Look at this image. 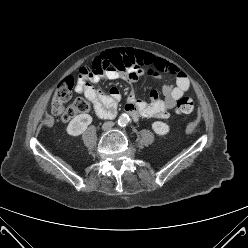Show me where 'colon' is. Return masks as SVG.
Here are the masks:
<instances>
[{
	"label": "colon",
	"instance_id": "5ec220e1",
	"mask_svg": "<svg viewBox=\"0 0 248 248\" xmlns=\"http://www.w3.org/2000/svg\"><path fill=\"white\" fill-rule=\"evenodd\" d=\"M129 64L117 52H110L107 56L95 58L88 66L89 73H103L106 71H125ZM73 78L67 77L59 82L52 99V112L58 121L66 123L81 113L90 110V104L84 99H76L70 106L65 107L64 103L72 96ZM194 109L193 99L183 97L178 100L176 113L188 114Z\"/></svg>",
	"mask_w": 248,
	"mask_h": 248
}]
</instances>
